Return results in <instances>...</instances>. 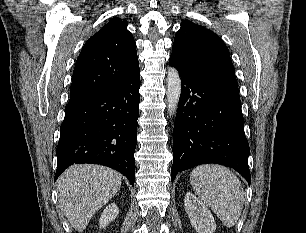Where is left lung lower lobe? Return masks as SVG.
Wrapping results in <instances>:
<instances>
[{"label":"left lung lower lobe","mask_w":306,"mask_h":233,"mask_svg":"<svg viewBox=\"0 0 306 233\" xmlns=\"http://www.w3.org/2000/svg\"><path fill=\"white\" fill-rule=\"evenodd\" d=\"M182 91L173 130L171 180L178 172L215 163L234 168L250 184V153L237 84L193 73L173 58Z\"/></svg>","instance_id":"left-lung-lower-lobe-1"}]
</instances>
